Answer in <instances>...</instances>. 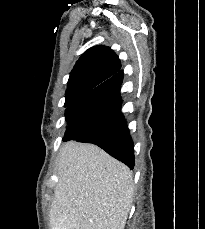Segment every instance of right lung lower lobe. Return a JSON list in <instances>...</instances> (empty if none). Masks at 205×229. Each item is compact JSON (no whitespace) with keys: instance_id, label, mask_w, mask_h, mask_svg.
Returning <instances> with one entry per match:
<instances>
[{"instance_id":"1","label":"right lung lower lobe","mask_w":205,"mask_h":229,"mask_svg":"<svg viewBox=\"0 0 205 229\" xmlns=\"http://www.w3.org/2000/svg\"><path fill=\"white\" fill-rule=\"evenodd\" d=\"M122 80L121 70L67 107L63 141L93 143L133 169V141L120 110Z\"/></svg>"}]
</instances>
